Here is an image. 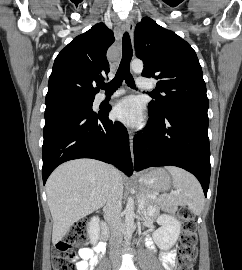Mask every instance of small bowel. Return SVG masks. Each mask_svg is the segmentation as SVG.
<instances>
[{
	"label": "small bowel",
	"mask_w": 242,
	"mask_h": 270,
	"mask_svg": "<svg viewBox=\"0 0 242 270\" xmlns=\"http://www.w3.org/2000/svg\"><path fill=\"white\" fill-rule=\"evenodd\" d=\"M102 243L94 245L92 248H81L78 252V259L76 262L77 270H94L98 263V254L103 252ZM162 264L165 270H174L176 254L173 251L164 252L161 256Z\"/></svg>",
	"instance_id": "obj_1"
}]
</instances>
